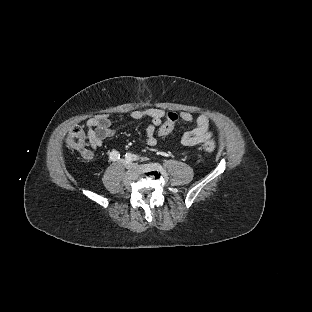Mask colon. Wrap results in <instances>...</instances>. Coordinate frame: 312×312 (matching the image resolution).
<instances>
[{
	"label": "colon",
	"mask_w": 312,
	"mask_h": 312,
	"mask_svg": "<svg viewBox=\"0 0 312 312\" xmlns=\"http://www.w3.org/2000/svg\"><path fill=\"white\" fill-rule=\"evenodd\" d=\"M177 121V116L171 113L168 116V122L161 124L158 129L159 134L166 136L169 135L174 129ZM66 138L69 147L82 154L83 158L88 159L91 156L89 149L87 148L86 139L83 135V131L78 126H71L66 131ZM216 144L212 140H206L203 144V150L207 153L215 151Z\"/></svg>",
	"instance_id": "obj_1"
}]
</instances>
